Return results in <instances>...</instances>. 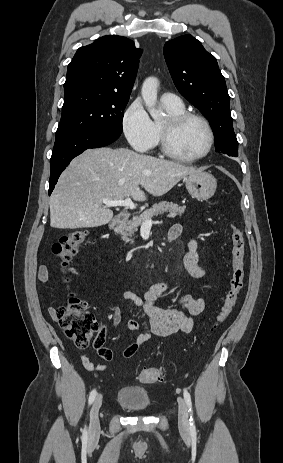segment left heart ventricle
Here are the masks:
<instances>
[{"label":"left heart ventricle","instance_id":"obj_1","mask_svg":"<svg viewBox=\"0 0 283 463\" xmlns=\"http://www.w3.org/2000/svg\"><path fill=\"white\" fill-rule=\"evenodd\" d=\"M208 135L204 125L195 119L182 124L172 137L173 148L181 155L194 157L204 152Z\"/></svg>","mask_w":283,"mask_h":463}]
</instances>
